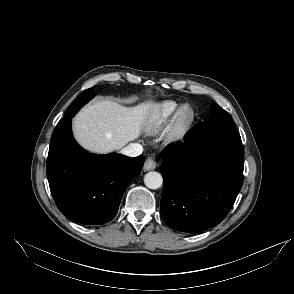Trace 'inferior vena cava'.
Instances as JSON below:
<instances>
[{
  "label": "inferior vena cava",
  "mask_w": 294,
  "mask_h": 294,
  "mask_svg": "<svg viewBox=\"0 0 294 294\" xmlns=\"http://www.w3.org/2000/svg\"><path fill=\"white\" fill-rule=\"evenodd\" d=\"M142 152H143V147L139 143H130L121 150L122 154L129 157L139 156L142 154Z\"/></svg>",
  "instance_id": "inferior-vena-cava-1"
}]
</instances>
